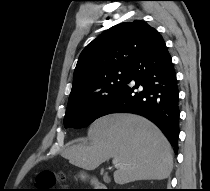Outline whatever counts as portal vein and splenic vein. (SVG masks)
<instances>
[{
  "label": "portal vein and splenic vein",
  "instance_id": "1",
  "mask_svg": "<svg viewBox=\"0 0 210 191\" xmlns=\"http://www.w3.org/2000/svg\"><path fill=\"white\" fill-rule=\"evenodd\" d=\"M112 163H113V165H114L115 167H118V166H119L118 158H113Z\"/></svg>",
  "mask_w": 210,
  "mask_h": 191
}]
</instances>
